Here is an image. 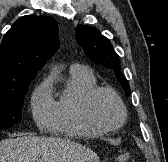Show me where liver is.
Wrapping results in <instances>:
<instances>
[{
    "mask_svg": "<svg viewBox=\"0 0 168 162\" xmlns=\"http://www.w3.org/2000/svg\"><path fill=\"white\" fill-rule=\"evenodd\" d=\"M99 158L89 148L56 137L22 136L0 141V162H90Z\"/></svg>",
    "mask_w": 168,
    "mask_h": 162,
    "instance_id": "liver-1",
    "label": "liver"
}]
</instances>
